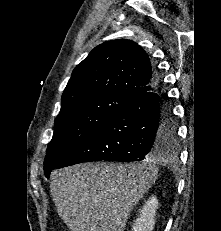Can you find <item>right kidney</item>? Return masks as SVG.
Returning <instances> with one entry per match:
<instances>
[{"label":"right kidney","mask_w":221,"mask_h":231,"mask_svg":"<svg viewBox=\"0 0 221 231\" xmlns=\"http://www.w3.org/2000/svg\"><path fill=\"white\" fill-rule=\"evenodd\" d=\"M158 199L151 197L139 211V217L134 221L133 231H152L155 225Z\"/></svg>","instance_id":"right-kidney-1"}]
</instances>
